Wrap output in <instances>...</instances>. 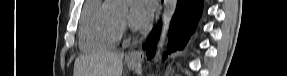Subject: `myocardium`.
<instances>
[{"label": "myocardium", "mask_w": 287, "mask_h": 76, "mask_svg": "<svg viewBox=\"0 0 287 76\" xmlns=\"http://www.w3.org/2000/svg\"><path fill=\"white\" fill-rule=\"evenodd\" d=\"M115 21L119 27L120 30H124L127 27V23L124 20L119 19L116 15H114Z\"/></svg>", "instance_id": "1"}]
</instances>
